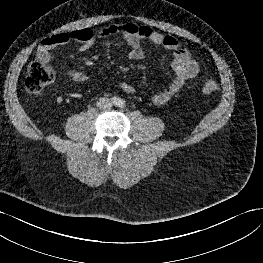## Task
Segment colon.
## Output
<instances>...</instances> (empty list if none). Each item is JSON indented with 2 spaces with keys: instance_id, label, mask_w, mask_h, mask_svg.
I'll use <instances>...</instances> for the list:
<instances>
[{
  "instance_id": "1",
  "label": "colon",
  "mask_w": 263,
  "mask_h": 263,
  "mask_svg": "<svg viewBox=\"0 0 263 263\" xmlns=\"http://www.w3.org/2000/svg\"><path fill=\"white\" fill-rule=\"evenodd\" d=\"M54 79L55 70L53 67L41 59L35 58L28 65L24 86L27 91L38 93L52 83ZM201 90L204 94H213L219 90V83L213 77H206L203 80Z\"/></svg>"
}]
</instances>
